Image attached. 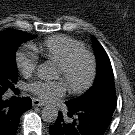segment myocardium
I'll return each instance as SVG.
<instances>
[{"mask_svg":"<svg viewBox=\"0 0 135 135\" xmlns=\"http://www.w3.org/2000/svg\"><path fill=\"white\" fill-rule=\"evenodd\" d=\"M81 59H86L88 61L89 74L87 80L81 86L76 87L68 84V88L73 94H83L87 92L94 84V81L97 76V62L95 57L90 52L84 50L72 54L68 59H66L64 62L58 65L61 71L65 75H67L75 66V64Z\"/></svg>","mask_w":135,"mask_h":135,"instance_id":"obj_1","label":"myocardium"}]
</instances>
